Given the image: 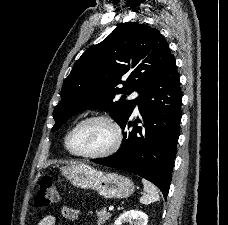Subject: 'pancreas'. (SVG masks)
Wrapping results in <instances>:
<instances>
[{
	"label": "pancreas",
	"instance_id": "pancreas-1",
	"mask_svg": "<svg viewBox=\"0 0 228 225\" xmlns=\"http://www.w3.org/2000/svg\"><path fill=\"white\" fill-rule=\"evenodd\" d=\"M98 221L97 225H104L106 221H108L109 217H111L110 213H107L106 209H102V211H96Z\"/></svg>",
	"mask_w": 228,
	"mask_h": 225
}]
</instances>
